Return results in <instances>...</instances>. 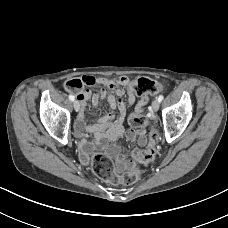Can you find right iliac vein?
Here are the masks:
<instances>
[{
  "mask_svg": "<svg viewBox=\"0 0 228 228\" xmlns=\"http://www.w3.org/2000/svg\"><path fill=\"white\" fill-rule=\"evenodd\" d=\"M73 106H74V109L76 112H78L80 110V104L77 100L74 101Z\"/></svg>",
  "mask_w": 228,
  "mask_h": 228,
  "instance_id": "63e3f726",
  "label": "right iliac vein"
}]
</instances>
